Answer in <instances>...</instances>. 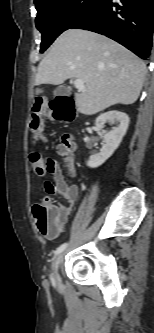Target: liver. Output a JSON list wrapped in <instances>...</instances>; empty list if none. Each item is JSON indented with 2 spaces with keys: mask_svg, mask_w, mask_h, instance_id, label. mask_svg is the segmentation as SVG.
<instances>
[{
  "mask_svg": "<svg viewBox=\"0 0 154 333\" xmlns=\"http://www.w3.org/2000/svg\"><path fill=\"white\" fill-rule=\"evenodd\" d=\"M146 64L134 53L103 35L69 29L41 60L35 85H61L81 79L85 91L75 94L80 113L93 115L115 104H132L140 94Z\"/></svg>",
  "mask_w": 154,
  "mask_h": 333,
  "instance_id": "liver-1",
  "label": "liver"
}]
</instances>
